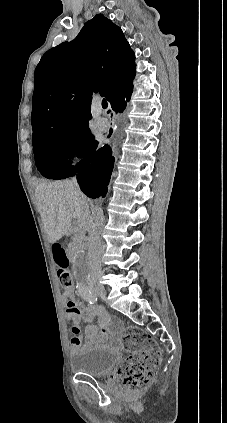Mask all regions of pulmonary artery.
Here are the masks:
<instances>
[{
	"label": "pulmonary artery",
	"mask_w": 227,
	"mask_h": 423,
	"mask_svg": "<svg viewBox=\"0 0 227 423\" xmlns=\"http://www.w3.org/2000/svg\"><path fill=\"white\" fill-rule=\"evenodd\" d=\"M101 113H102L101 107H97L92 110V115L94 117L96 127L99 130L104 131L109 128L110 123L107 118L101 116Z\"/></svg>",
	"instance_id": "obj_1"
}]
</instances>
